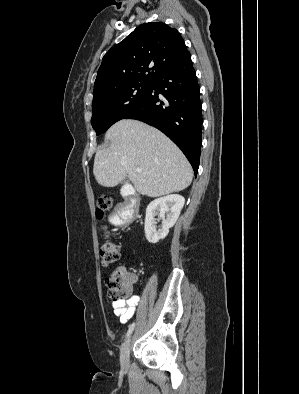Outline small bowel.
Instances as JSON below:
<instances>
[{
    "label": "small bowel",
    "mask_w": 299,
    "mask_h": 394,
    "mask_svg": "<svg viewBox=\"0 0 299 394\" xmlns=\"http://www.w3.org/2000/svg\"><path fill=\"white\" fill-rule=\"evenodd\" d=\"M121 207H122V205H121ZM133 278H134V283H136L137 276L133 275ZM139 300H140L139 296L134 295L129 300H126V301L114 300L112 302L114 314L119 317L120 322L122 324L127 323V321L132 318V316L134 315V312L136 310V306L139 303Z\"/></svg>",
    "instance_id": "c3829d8e"
}]
</instances>
